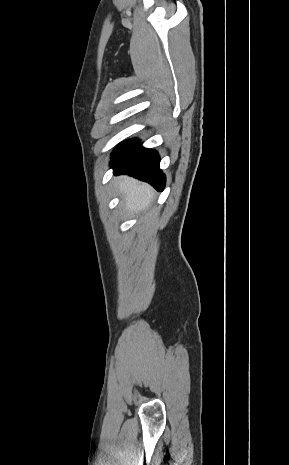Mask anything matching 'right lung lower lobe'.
Listing matches in <instances>:
<instances>
[{"label": "right lung lower lobe", "mask_w": 289, "mask_h": 465, "mask_svg": "<svg viewBox=\"0 0 289 465\" xmlns=\"http://www.w3.org/2000/svg\"><path fill=\"white\" fill-rule=\"evenodd\" d=\"M160 158L153 149H146L139 143L128 155L119 162L112 163L114 174H128L146 181L158 191L165 186V175L159 168Z\"/></svg>", "instance_id": "obj_1"}]
</instances>
